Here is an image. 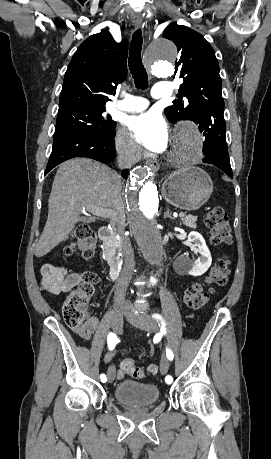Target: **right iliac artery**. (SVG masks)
I'll list each match as a JSON object with an SVG mask.
<instances>
[{"instance_id": "right-iliac-artery-1", "label": "right iliac artery", "mask_w": 271, "mask_h": 459, "mask_svg": "<svg viewBox=\"0 0 271 459\" xmlns=\"http://www.w3.org/2000/svg\"><path fill=\"white\" fill-rule=\"evenodd\" d=\"M118 338L116 336V334L114 333H109L108 334V337H107V343H108V347H109V350H113L116 346V344L118 343ZM100 379L102 382H106L107 381V378H106V375L105 374H101L100 375Z\"/></svg>"}]
</instances>
